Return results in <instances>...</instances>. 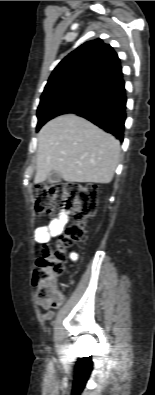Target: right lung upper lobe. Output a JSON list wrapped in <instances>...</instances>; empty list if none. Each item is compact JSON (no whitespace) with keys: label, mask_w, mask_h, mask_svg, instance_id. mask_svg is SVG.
<instances>
[{"label":"right lung upper lobe","mask_w":155,"mask_h":395,"mask_svg":"<svg viewBox=\"0 0 155 395\" xmlns=\"http://www.w3.org/2000/svg\"><path fill=\"white\" fill-rule=\"evenodd\" d=\"M120 74L122 67L117 53L109 44L96 39L67 55L53 70L46 87L72 81L103 86Z\"/></svg>","instance_id":"right-lung-upper-lobe-1"}]
</instances>
